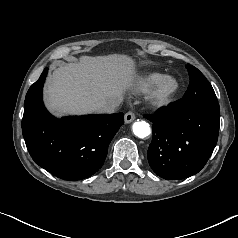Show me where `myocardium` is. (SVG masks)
<instances>
[{"mask_svg":"<svg viewBox=\"0 0 238 238\" xmlns=\"http://www.w3.org/2000/svg\"><path fill=\"white\" fill-rule=\"evenodd\" d=\"M171 84L167 88L166 85ZM180 90L179 80L172 75H163L148 91V102L155 108H161L171 104Z\"/></svg>","mask_w":238,"mask_h":238,"instance_id":"obj_1","label":"myocardium"}]
</instances>
